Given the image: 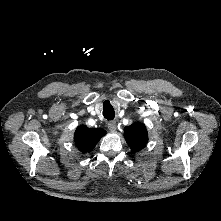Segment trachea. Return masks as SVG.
<instances>
[{"instance_id": "1", "label": "trachea", "mask_w": 221, "mask_h": 221, "mask_svg": "<svg viewBox=\"0 0 221 221\" xmlns=\"http://www.w3.org/2000/svg\"><path fill=\"white\" fill-rule=\"evenodd\" d=\"M103 116L108 121L113 120L115 117V112L112 105L109 102H105L103 106Z\"/></svg>"}]
</instances>
